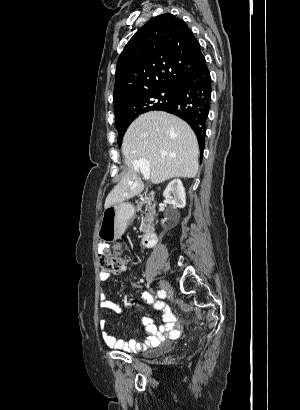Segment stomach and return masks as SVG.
<instances>
[{
	"label": "stomach",
	"mask_w": 300,
	"mask_h": 410,
	"mask_svg": "<svg viewBox=\"0 0 300 410\" xmlns=\"http://www.w3.org/2000/svg\"><path fill=\"white\" fill-rule=\"evenodd\" d=\"M133 213L134 208L130 203H117L106 208L101 219L99 238L104 242L120 238Z\"/></svg>",
	"instance_id": "stomach-1"
}]
</instances>
